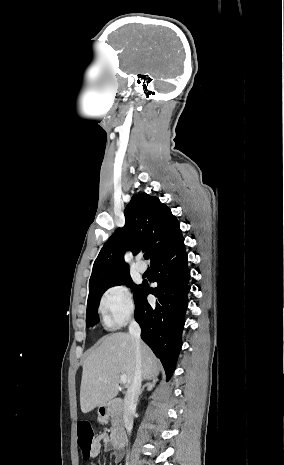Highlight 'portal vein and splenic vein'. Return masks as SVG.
Segmentation results:
<instances>
[{
    "label": "portal vein and splenic vein",
    "instance_id": "portal-vein-and-splenic-vein-1",
    "mask_svg": "<svg viewBox=\"0 0 284 465\" xmlns=\"http://www.w3.org/2000/svg\"><path fill=\"white\" fill-rule=\"evenodd\" d=\"M120 381L123 383V385H126L127 383V375H120Z\"/></svg>",
    "mask_w": 284,
    "mask_h": 465
}]
</instances>
